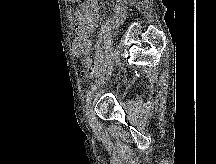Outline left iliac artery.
Returning a JSON list of instances; mask_svg holds the SVG:
<instances>
[{"mask_svg":"<svg viewBox=\"0 0 216 164\" xmlns=\"http://www.w3.org/2000/svg\"><path fill=\"white\" fill-rule=\"evenodd\" d=\"M99 83V80L96 81V83L94 85L91 86V89L87 92V105L90 104V101H91V96L93 94V92L96 90V86L97 84Z\"/></svg>","mask_w":216,"mask_h":164,"instance_id":"44dca946","label":"left iliac artery"}]
</instances>
